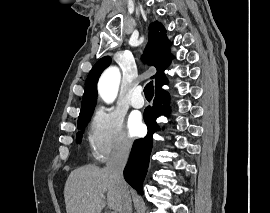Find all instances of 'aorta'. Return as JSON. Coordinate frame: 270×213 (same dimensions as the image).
I'll list each match as a JSON object with an SVG mask.
<instances>
[{"mask_svg":"<svg viewBox=\"0 0 270 213\" xmlns=\"http://www.w3.org/2000/svg\"><path fill=\"white\" fill-rule=\"evenodd\" d=\"M120 79L121 75L117 67H110L102 74L98 83V92L103 101L107 104L115 100Z\"/></svg>","mask_w":270,"mask_h":213,"instance_id":"aorta-1","label":"aorta"}]
</instances>
